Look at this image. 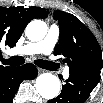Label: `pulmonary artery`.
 Returning <instances> with one entry per match:
<instances>
[{
	"instance_id": "pulmonary-artery-1",
	"label": "pulmonary artery",
	"mask_w": 103,
	"mask_h": 103,
	"mask_svg": "<svg viewBox=\"0 0 103 103\" xmlns=\"http://www.w3.org/2000/svg\"><path fill=\"white\" fill-rule=\"evenodd\" d=\"M58 39H59V28L56 25H51L46 37L43 40L18 47L14 50V54L34 55L42 53L48 55L53 51ZM69 75L70 73L68 70H65L63 72V77L65 79H67Z\"/></svg>"
}]
</instances>
